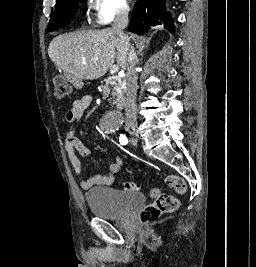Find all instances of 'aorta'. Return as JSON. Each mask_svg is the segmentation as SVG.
Returning a JSON list of instances; mask_svg holds the SVG:
<instances>
[{
	"mask_svg": "<svg viewBox=\"0 0 256 267\" xmlns=\"http://www.w3.org/2000/svg\"><path fill=\"white\" fill-rule=\"evenodd\" d=\"M101 122H105V127H120V117H101Z\"/></svg>",
	"mask_w": 256,
	"mask_h": 267,
	"instance_id": "obj_1",
	"label": "aorta"
}]
</instances>
